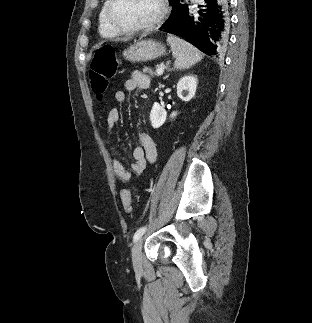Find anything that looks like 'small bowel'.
<instances>
[{
    "mask_svg": "<svg viewBox=\"0 0 312 323\" xmlns=\"http://www.w3.org/2000/svg\"><path fill=\"white\" fill-rule=\"evenodd\" d=\"M150 85V79L147 75L140 71H134L131 77L125 82V89L127 91H134L136 89H147ZM126 92L117 90L114 93V100L118 104L126 102ZM121 119V112L119 109H112L107 116L106 121V136L109 141L112 140L115 127ZM140 145L132 150L133 164L131 171H128L125 166L115 157L111 158V166L114 175L122 182H127L131 179L132 174H142L147 166V163H154L157 160V149L152 138L144 133H139Z\"/></svg>",
    "mask_w": 312,
    "mask_h": 323,
    "instance_id": "obj_1",
    "label": "small bowel"
}]
</instances>
